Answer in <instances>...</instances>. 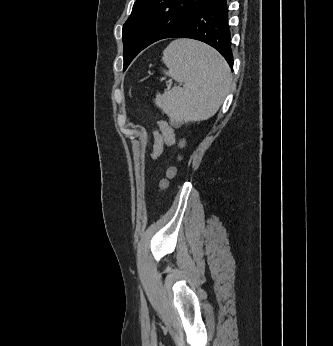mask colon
Instances as JSON below:
<instances>
[{
    "label": "colon",
    "mask_w": 333,
    "mask_h": 346,
    "mask_svg": "<svg viewBox=\"0 0 333 346\" xmlns=\"http://www.w3.org/2000/svg\"><path fill=\"white\" fill-rule=\"evenodd\" d=\"M175 175V168L170 167L166 171V176L163 180L160 181L159 183V188L160 190H165L168 187L169 180L172 179Z\"/></svg>",
    "instance_id": "obj_1"
}]
</instances>
